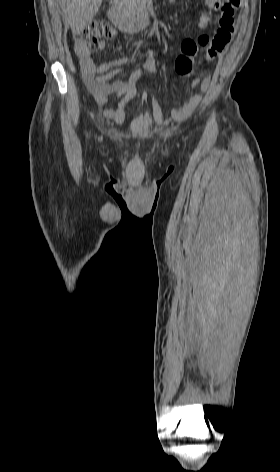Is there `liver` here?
Segmentation results:
<instances>
[{
    "label": "liver",
    "mask_w": 280,
    "mask_h": 472,
    "mask_svg": "<svg viewBox=\"0 0 280 472\" xmlns=\"http://www.w3.org/2000/svg\"><path fill=\"white\" fill-rule=\"evenodd\" d=\"M73 33L80 34L98 12L102 0H59Z\"/></svg>",
    "instance_id": "6515ba94"
}]
</instances>
